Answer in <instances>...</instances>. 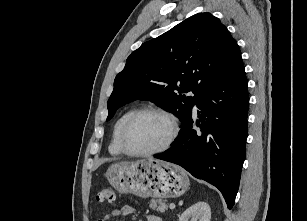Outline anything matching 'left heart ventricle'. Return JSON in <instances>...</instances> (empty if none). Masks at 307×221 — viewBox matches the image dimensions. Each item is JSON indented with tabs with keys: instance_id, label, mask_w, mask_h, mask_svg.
<instances>
[{
	"instance_id": "b2bd125f",
	"label": "left heart ventricle",
	"mask_w": 307,
	"mask_h": 221,
	"mask_svg": "<svg viewBox=\"0 0 307 221\" xmlns=\"http://www.w3.org/2000/svg\"><path fill=\"white\" fill-rule=\"evenodd\" d=\"M170 134V124L157 114H145L135 121L127 143L135 151H149L161 146Z\"/></svg>"
}]
</instances>
